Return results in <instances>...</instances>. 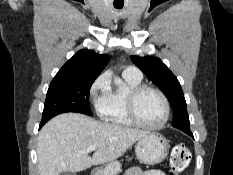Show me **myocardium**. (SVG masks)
I'll return each instance as SVG.
<instances>
[{"label": "myocardium", "mask_w": 233, "mask_h": 175, "mask_svg": "<svg viewBox=\"0 0 233 175\" xmlns=\"http://www.w3.org/2000/svg\"><path fill=\"white\" fill-rule=\"evenodd\" d=\"M145 91L155 92L156 94L159 95V97L161 98L163 102L164 110H165L164 117L158 124H155V125L145 124L138 117L137 101L140 95L144 93ZM126 108H127L128 116L130 120L133 122V124L146 130L161 129L168 122L169 117H170V103H169L167 96L160 89L154 86H150V85L141 84L131 89L127 95Z\"/></svg>", "instance_id": "obj_1"}]
</instances>
